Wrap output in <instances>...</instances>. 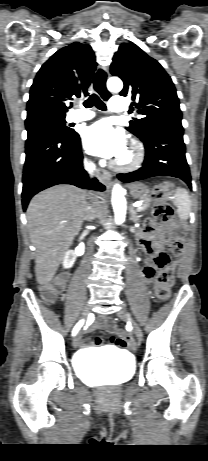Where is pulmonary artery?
<instances>
[{
  "label": "pulmonary artery",
  "instance_id": "1",
  "mask_svg": "<svg viewBox=\"0 0 208 461\" xmlns=\"http://www.w3.org/2000/svg\"><path fill=\"white\" fill-rule=\"evenodd\" d=\"M109 109L115 113H122L126 111L127 106L125 104L124 97H113L109 102ZM94 114L91 111L75 112L70 115L69 120L71 122H82L93 118Z\"/></svg>",
  "mask_w": 208,
  "mask_h": 461
}]
</instances>
